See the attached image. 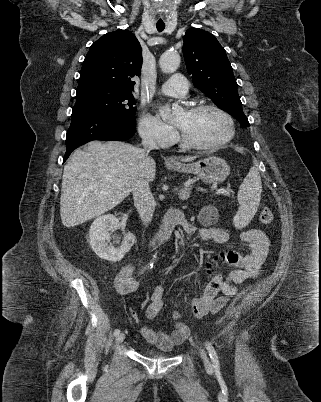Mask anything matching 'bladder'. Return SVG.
<instances>
[{"label": "bladder", "instance_id": "31cf9c89", "mask_svg": "<svg viewBox=\"0 0 321 402\" xmlns=\"http://www.w3.org/2000/svg\"><path fill=\"white\" fill-rule=\"evenodd\" d=\"M148 354L151 356H155V357H168L170 355V353H166V352H158L154 349H151L148 351Z\"/></svg>", "mask_w": 321, "mask_h": 402}]
</instances>
